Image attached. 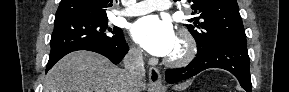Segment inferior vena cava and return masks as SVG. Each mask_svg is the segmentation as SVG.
I'll return each mask as SVG.
<instances>
[{
  "label": "inferior vena cava",
  "mask_w": 289,
  "mask_h": 92,
  "mask_svg": "<svg viewBox=\"0 0 289 92\" xmlns=\"http://www.w3.org/2000/svg\"><path fill=\"white\" fill-rule=\"evenodd\" d=\"M143 51L140 48H131L124 57L125 72L131 82H137L145 77Z\"/></svg>",
  "instance_id": "602c4592"
}]
</instances>
